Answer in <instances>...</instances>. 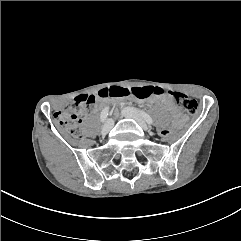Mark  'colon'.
<instances>
[{"label":"colon","mask_w":241,"mask_h":241,"mask_svg":"<svg viewBox=\"0 0 241 241\" xmlns=\"http://www.w3.org/2000/svg\"><path fill=\"white\" fill-rule=\"evenodd\" d=\"M164 90L160 87L152 86H136V87H123V86H112L102 89L97 95L82 94L74 99V101L57 111L54 114L55 121L73 137H80V124L81 116L87 112V110L97 101L99 98H120L133 96L138 99H145L151 95H162ZM171 96L178 107L190 115H195L198 111L197 102L188 97L185 94L179 92L169 91L167 93ZM175 129L172 126L159 127L155 130L157 137L166 138L173 136Z\"/></svg>","instance_id":"1"}]
</instances>
